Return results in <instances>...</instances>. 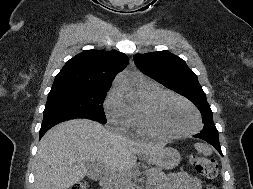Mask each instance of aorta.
<instances>
[{
    "label": "aorta",
    "instance_id": "1",
    "mask_svg": "<svg viewBox=\"0 0 253 189\" xmlns=\"http://www.w3.org/2000/svg\"><path fill=\"white\" fill-rule=\"evenodd\" d=\"M116 86L125 95L128 102L133 103L136 101L137 97L130 81L125 78H119L116 81Z\"/></svg>",
    "mask_w": 253,
    "mask_h": 189
}]
</instances>
